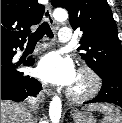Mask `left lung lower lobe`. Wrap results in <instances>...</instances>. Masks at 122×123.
Here are the masks:
<instances>
[{
    "mask_svg": "<svg viewBox=\"0 0 122 123\" xmlns=\"http://www.w3.org/2000/svg\"><path fill=\"white\" fill-rule=\"evenodd\" d=\"M102 79V88L100 93L94 99L85 102H107L122 107V71L110 70L103 74H98Z\"/></svg>",
    "mask_w": 122,
    "mask_h": 123,
    "instance_id": "obj_1",
    "label": "left lung lower lobe"
}]
</instances>
